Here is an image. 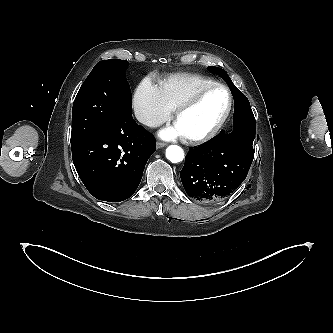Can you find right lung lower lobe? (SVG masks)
<instances>
[{"mask_svg": "<svg viewBox=\"0 0 333 333\" xmlns=\"http://www.w3.org/2000/svg\"><path fill=\"white\" fill-rule=\"evenodd\" d=\"M155 141L132 118L131 109L97 134L72 147L74 166L95 198L119 202L131 197L140 184Z\"/></svg>", "mask_w": 333, "mask_h": 333, "instance_id": "obj_1", "label": "right lung lower lobe"}]
</instances>
